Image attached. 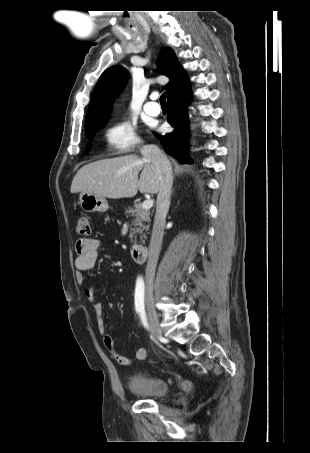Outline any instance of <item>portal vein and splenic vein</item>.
I'll list each match as a JSON object with an SVG mask.
<instances>
[{
    "label": "portal vein and splenic vein",
    "instance_id": "18ae733b",
    "mask_svg": "<svg viewBox=\"0 0 310 453\" xmlns=\"http://www.w3.org/2000/svg\"><path fill=\"white\" fill-rule=\"evenodd\" d=\"M152 206H153V200H151V199L145 200L142 204V208L144 210H149L152 208Z\"/></svg>",
    "mask_w": 310,
    "mask_h": 453
}]
</instances>
